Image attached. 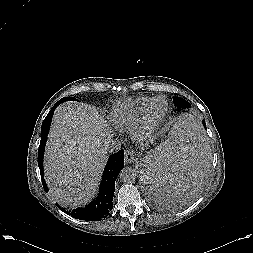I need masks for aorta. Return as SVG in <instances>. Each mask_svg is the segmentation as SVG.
Instances as JSON below:
<instances>
[{"instance_id": "1", "label": "aorta", "mask_w": 253, "mask_h": 253, "mask_svg": "<svg viewBox=\"0 0 253 253\" xmlns=\"http://www.w3.org/2000/svg\"><path fill=\"white\" fill-rule=\"evenodd\" d=\"M120 179L123 182H133L136 179L137 173L135 171V169L131 168V167H124L121 171H120Z\"/></svg>"}]
</instances>
